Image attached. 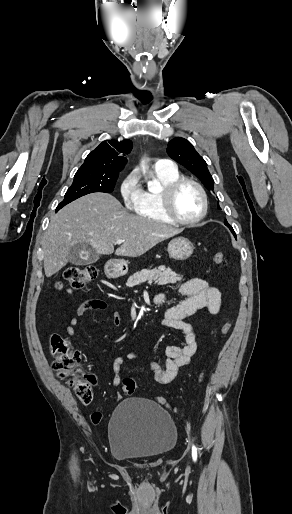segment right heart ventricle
Masks as SVG:
<instances>
[{"mask_svg": "<svg viewBox=\"0 0 292 514\" xmlns=\"http://www.w3.org/2000/svg\"><path fill=\"white\" fill-rule=\"evenodd\" d=\"M156 178L162 183V186L170 184L175 180L179 179V173L175 174H167L156 171ZM159 192V191H158ZM153 192L150 189H146L143 192V199L140 206L135 210V212L145 217L149 220H153L159 223H169L165 215L163 214L159 201L157 198V193Z\"/></svg>", "mask_w": 292, "mask_h": 514, "instance_id": "e07e8e85", "label": "right heart ventricle"}]
</instances>
